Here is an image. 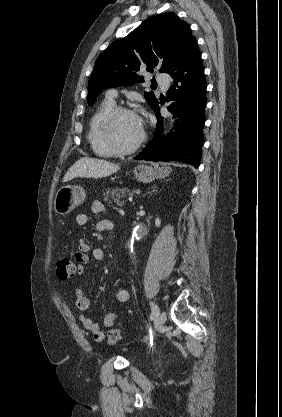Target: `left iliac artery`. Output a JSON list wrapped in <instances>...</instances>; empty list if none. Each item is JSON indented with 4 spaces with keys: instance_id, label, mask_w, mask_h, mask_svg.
I'll return each mask as SVG.
<instances>
[{
    "instance_id": "obj_1",
    "label": "left iliac artery",
    "mask_w": 282,
    "mask_h": 417,
    "mask_svg": "<svg viewBox=\"0 0 282 417\" xmlns=\"http://www.w3.org/2000/svg\"><path fill=\"white\" fill-rule=\"evenodd\" d=\"M150 306H151V309H152L151 320H153L159 314V309H158L157 305L153 302H150Z\"/></svg>"
}]
</instances>
